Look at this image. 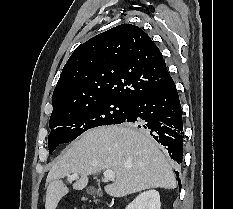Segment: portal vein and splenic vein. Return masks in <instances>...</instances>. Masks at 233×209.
Listing matches in <instances>:
<instances>
[{
  "instance_id": "1",
  "label": "portal vein and splenic vein",
  "mask_w": 233,
  "mask_h": 209,
  "mask_svg": "<svg viewBox=\"0 0 233 209\" xmlns=\"http://www.w3.org/2000/svg\"><path fill=\"white\" fill-rule=\"evenodd\" d=\"M103 175H104L105 180H112V181L115 180V174H114L113 170H110V169L106 170ZM76 178H77V175H75V174L68 176V179L71 181L75 180Z\"/></svg>"
}]
</instances>
